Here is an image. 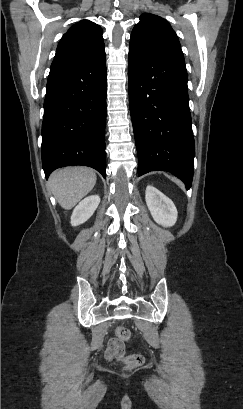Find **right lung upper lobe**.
Returning a JSON list of instances; mask_svg holds the SVG:
<instances>
[{
    "instance_id": "cb5924a9",
    "label": "right lung upper lobe",
    "mask_w": 243,
    "mask_h": 409,
    "mask_svg": "<svg viewBox=\"0 0 243 409\" xmlns=\"http://www.w3.org/2000/svg\"><path fill=\"white\" fill-rule=\"evenodd\" d=\"M104 49L99 25L81 20L63 35L56 50L51 69L86 60Z\"/></svg>"
}]
</instances>
